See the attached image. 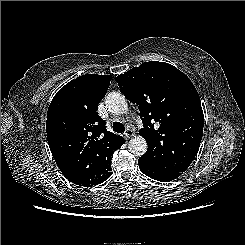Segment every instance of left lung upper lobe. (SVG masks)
<instances>
[{
  "label": "left lung upper lobe",
  "instance_id": "1",
  "mask_svg": "<svg viewBox=\"0 0 245 245\" xmlns=\"http://www.w3.org/2000/svg\"><path fill=\"white\" fill-rule=\"evenodd\" d=\"M116 81L125 97L138 105L144 127L139 131L148 149L139 159L184 172L196 156L204 115L191 80L171 64L142 63Z\"/></svg>",
  "mask_w": 245,
  "mask_h": 245
}]
</instances>
